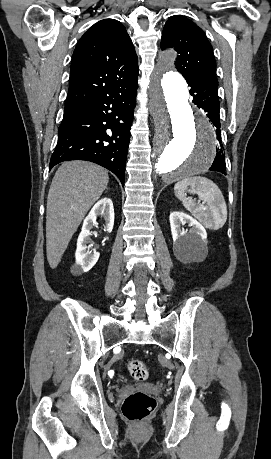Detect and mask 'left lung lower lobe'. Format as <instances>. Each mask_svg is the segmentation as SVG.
<instances>
[{
	"instance_id": "obj_1",
	"label": "left lung lower lobe",
	"mask_w": 271,
	"mask_h": 459,
	"mask_svg": "<svg viewBox=\"0 0 271 459\" xmlns=\"http://www.w3.org/2000/svg\"><path fill=\"white\" fill-rule=\"evenodd\" d=\"M187 83L191 87L190 94L193 96L194 104H196L198 108H202L205 112H207V117L216 128V157L209 170L225 174L226 164L225 152L221 141L218 84H214L211 79L198 82L187 81Z\"/></svg>"
}]
</instances>
